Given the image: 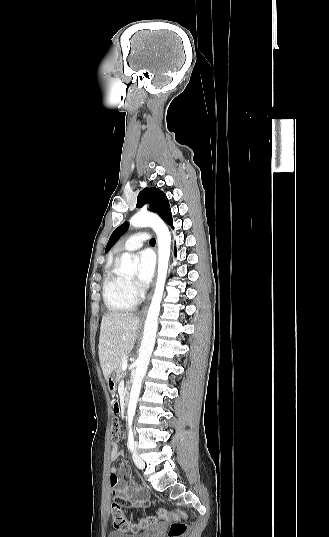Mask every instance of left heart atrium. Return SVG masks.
Returning <instances> with one entry per match:
<instances>
[{"label":"left heart atrium","mask_w":329,"mask_h":537,"mask_svg":"<svg viewBox=\"0 0 329 537\" xmlns=\"http://www.w3.org/2000/svg\"><path fill=\"white\" fill-rule=\"evenodd\" d=\"M138 271L136 275V283L139 287L144 288L150 282L154 267H155V258L149 250H143L139 253L138 256Z\"/></svg>","instance_id":"1"}]
</instances>
